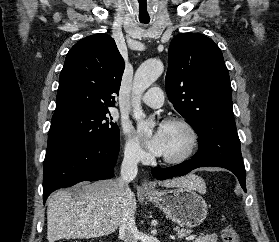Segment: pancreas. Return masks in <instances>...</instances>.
I'll return each instance as SVG.
<instances>
[{"mask_svg": "<svg viewBox=\"0 0 279 242\" xmlns=\"http://www.w3.org/2000/svg\"><path fill=\"white\" fill-rule=\"evenodd\" d=\"M174 230L177 231L179 237H184L188 234V231H186L185 229H180L179 227H175ZM217 239L218 236L216 234H211V235L199 236L193 242H217Z\"/></svg>", "mask_w": 279, "mask_h": 242, "instance_id": "obj_1", "label": "pancreas"}]
</instances>
